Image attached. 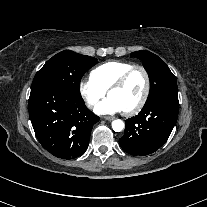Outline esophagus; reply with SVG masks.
<instances>
[{
	"mask_svg": "<svg viewBox=\"0 0 207 207\" xmlns=\"http://www.w3.org/2000/svg\"><path fill=\"white\" fill-rule=\"evenodd\" d=\"M102 118L108 121H112L115 119V117H112V116H103Z\"/></svg>",
	"mask_w": 207,
	"mask_h": 207,
	"instance_id": "34e87169",
	"label": "esophagus"
}]
</instances>
